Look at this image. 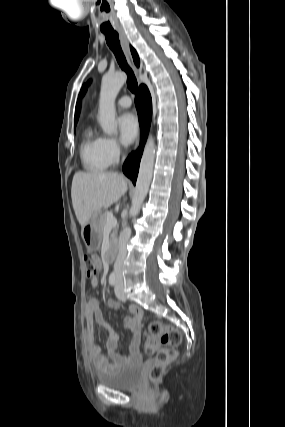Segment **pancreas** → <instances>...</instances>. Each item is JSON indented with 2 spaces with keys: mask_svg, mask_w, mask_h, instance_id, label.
I'll use <instances>...</instances> for the list:
<instances>
[{
  "mask_svg": "<svg viewBox=\"0 0 285 427\" xmlns=\"http://www.w3.org/2000/svg\"><path fill=\"white\" fill-rule=\"evenodd\" d=\"M107 215H108V211H105V212L100 216V219H99V222H98V228H99V231H100L101 233H103V231H104V227H105L106 222H107ZM116 232H117V229H116V228H114V230H113V232H112V234H111V239H113V238H114V236H115Z\"/></svg>",
  "mask_w": 285,
  "mask_h": 427,
  "instance_id": "obj_1",
  "label": "pancreas"
}]
</instances>
